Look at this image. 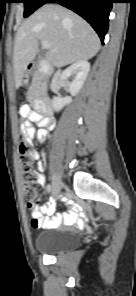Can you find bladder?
Here are the masks:
<instances>
[{"instance_id": "1", "label": "bladder", "mask_w": 136, "mask_h": 296, "mask_svg": "<svg viewBox=\"0 0 136 296\" xmlns=\"http://www.w3.org/2000/svg\"><path fill=\"white\" fill-rule=\"evenodd\" d=\"M78 236L73 231L58 228L39 233L35 237V249L39 253L57 254L78 244Z\"/></svg>"}]
</instances>
